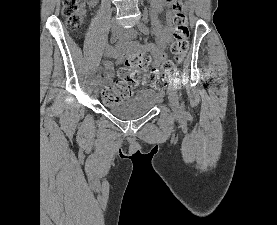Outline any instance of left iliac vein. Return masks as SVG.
Returning <instances> with one entry per match:
<instances>
[{"instance_id": "obj_1", "label": "left iliac vein", "mask_w": 277, "mask_h": 225, "mask_svg": "<svg viewBox=\"0 0 277 225\" xmlns=\"http://www.w3.org/2000/svg\"><path fill=\"white\" fill-rule=\"evenodd\" d=\"M139 34L137 29L130 28L125 30L124 36L128 37L130 39H134ZM168 98L170 101V106L174 112L175 115H178L180 113V105H179V95L177 92L176 85L174 83H171L167 90Z\"/></svg>"}]
</instances>
